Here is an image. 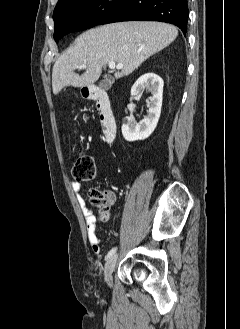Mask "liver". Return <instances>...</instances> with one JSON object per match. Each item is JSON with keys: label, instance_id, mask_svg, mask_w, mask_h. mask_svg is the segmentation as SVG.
Segmentation results:
<instances>
[{"label": "liver", "instance_id": "obj_1", "mask_svg": "<svg viewBox=\"0 0 240 329\" xmlns=\"http://www.w3.org/2000/svg\"><path fill=\"white\" fill-rule=\"evenodd\" d=\"M178 36L173 25L160 22H121L90 29L79 35L55 62L52 70L53 93L65 86L94 84L102 67L110 61L123 64L115 79L130 75L150 56L169 46ZM86 64L82 75L75 73Z\"/></svg>", "mask_w": 240, "mask_h": 329}]
</instances>
